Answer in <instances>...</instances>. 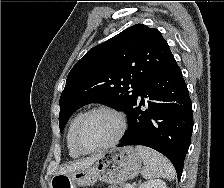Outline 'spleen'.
Segmentation results:
<instances>
[{"instance_id":"3e777b00","label":"spleen","mask_w":224,"mask_h":188,"mask_svg":"<svg viewBox=\"0 0 224 188\" xmlns=\"http://www.w3.org/2000/svg\"><path fill=\"white\" fill-rule=\"evenodd\" d=\"M135 149L142 157L145 165V169L142 172L145 179L163 177L171 181L175 178L176 171L172 163L162 154L141 145H137Z\"/></svg>"}]
</instances>
